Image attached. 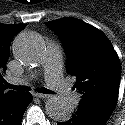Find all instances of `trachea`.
I'll list each match as a JSON object with an SVG mask.
<instances>
[{
    "mask_svg": "<svg viewBox=\"0 0 125 125\" xmlns=\"http://www.w3.org/2000/svg\"><path fill=\"white\" fill-rule=\"evenodd\" d=\"M6 86L8 88L16 90V91H28L29 90V87H27V86H16V85H12L10 83H6ZM36 91L43 93V94H54L53 91H51L47 88H38Z\"/></svg>",
    "mask_w": 125,
    "mask_h": 125,
    "instance_id": "trachea-1",
    "label": "trachea"
}]
</instances>
